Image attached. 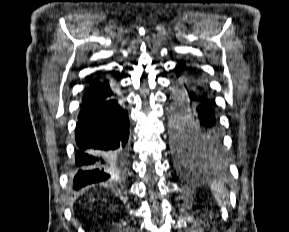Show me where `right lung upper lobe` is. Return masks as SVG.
I'll return each instance as SVG.
<instances>
[{
    "label": "right lung upper lobe",
    "instance_id": "right-lung-upper-lobe-1",
    "mask_svg": "<svg viewBox=\"0 0 289 232\" xmlns=\"http://www.w3.org/2000/svg\"><path fill=\"white\" fill-rule=\"evenodd\" d=\"M90 87L85 92L82 101H95L110 98L117 94L107 79H95L90 81Z\"/></svg>",
    "mask_w": 289,
    "mask_h": 232
}]
</instances>
